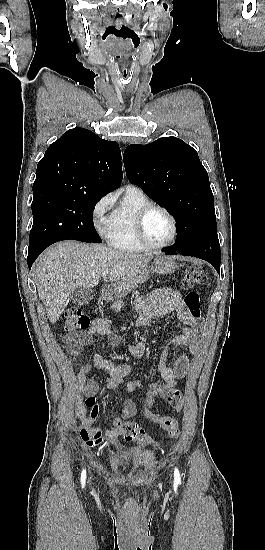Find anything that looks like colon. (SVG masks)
Masks as SVG:
<instances>
[{
	"instance_id": "5ec220e1",
	"label": "colon",
	"mask_w": 265,
	"mask_h": 550,
	"mask_svg": "<svg viewBox=\"0 0 265 550\" xmlns=\"http://www.w3.org/2000/svg\"><path fill=\"white\" fill-rule=\"evenodd\" d=\"M206 280L203 271L198 267H190L186 270L181 285L185 289H190L195 285L202 284ZM185 304L191 316L196 319L200 318V295L196 291H190L185 297ZM90 326V320L80 309L70 307L65 311L63 328L67 333L85 331ZM162 394V398L166 400L174 409L180 411L185 405V397L178 390H167L163 386H156L152 393L146 398L143 406V413L151 419H160L162 426L167 430L170 438H177L179 435V426L176 420L168 417H159L152 410L153 397ZM86 406L96 409L97 404L94 397L90 396L86 400ZM116 431L129 441H138L141 443H150L151 437L148 433L140 428L136 423L125 421L122 419L115 420Z\"/></svg>"
}]
</instances>
